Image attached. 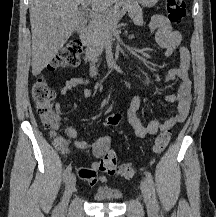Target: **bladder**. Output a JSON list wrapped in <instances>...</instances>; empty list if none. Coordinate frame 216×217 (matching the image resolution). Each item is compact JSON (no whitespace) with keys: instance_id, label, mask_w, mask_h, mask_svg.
Segmentation results:
<instances>
[{"instance_id":"obj_1","label":"bladder","mask_w":216,"mask_h":217,"mask_svg":"<svg viewBox=\"0 0 216 217\" xmlns=\"http://www.w3.org/2000/svg\"><path fill=\"white\" fill-rule=\"evenodd\" d=\"M123 194L116 190H97L93 193L94 199L101 202H115L121 199Z\"/></svg>"}]
</instances>
